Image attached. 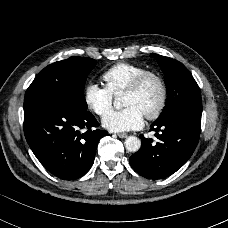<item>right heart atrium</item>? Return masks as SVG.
<instances>
[{
    "label": "right heart atrium",
    "instance_id": "obj_1",
    "mask_svg": "<svg viewBox=\"0 0 228 228\" xmlns=\"http://www.w3.org/2000/svg\"><path fill=\"white\" fill-rule=\"evenodd\" d=\"M84 102L97 115H104L113 103V95L106 86L96 81H89L84 88Z\"/></svg>",
    "mask_w": 228,
    "mask_h": 228
}]
</instances>
